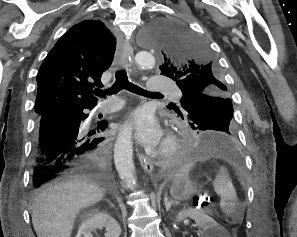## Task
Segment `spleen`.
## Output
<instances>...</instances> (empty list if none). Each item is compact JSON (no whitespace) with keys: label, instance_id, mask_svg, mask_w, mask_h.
<instances>
[{"label":"spleen","instance_id":"spleen-1","mask_svg":"<svg viewBox=\"0 0 297 237\" xmlns=\"http://www.w3.org/2000/svg\"><path fill=\"white\" fill-rule=\"evenodd\" d=\"M195 165V161L186 163L179 170L177 177L188 176L190 170ZM214 191L220 196V208L226 215H231L236 210L237 194L229 178L227 171L220 168L213 182Z\"/></svg>","mask_w":297,"mask_h":237}]
</instances>
